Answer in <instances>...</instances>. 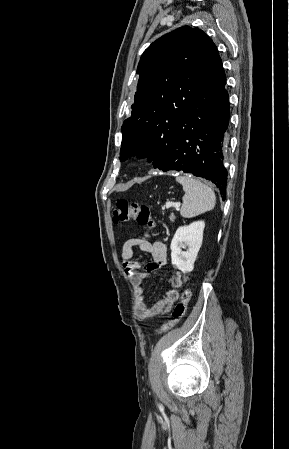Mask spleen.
Here are the masks:
<instances>
[{"label":"spleen","instance_id":"1","mask_svg":"<svg viewBox=\"0 0 289 449\" xmlns=\"http://www.w3.org/2000/svg\"><path fill=\"white\" fill-rule=\"evenodd\" d=\"M176 181L185 192L180 210L182 217L192 218L214 209L216 196L210 187L190 175H179Z\"/></svg>","mask_w":289,"mask_h":449}]
</instances>
